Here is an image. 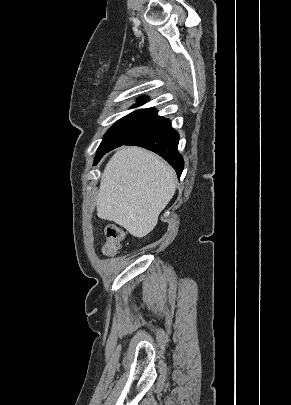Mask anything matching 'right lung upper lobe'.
Returning <instances> with one entry per match:
<instances>
[{
  "mask_svg": "<svg viewBox=\"0 0 291 405\" xmlns=\"http://www.w3.org/2000/svg\"><path fill=\"white\" fill-rule=\"evenodd\" d=\"M140 101H147V98H145V99H144V98H142V99H140Z\"/></svg>",
  "mask_w": 291,
  "mask_h": 405,
  "instance_id": "cb5924a9",
  "label": "right lung upper lobe"
}]
</instances>
